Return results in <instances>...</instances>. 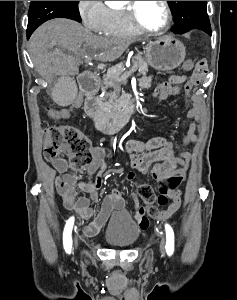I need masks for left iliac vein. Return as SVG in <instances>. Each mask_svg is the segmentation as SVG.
Instances as JSON below:
<instances>
[{"mask_svg": "<svg viewBox=\"0 0 237 300\" xmlns=\"http://www.w3.org/2000/svg\"><path fill=\"white\" fill-rule=\"evenodd\" d=\"M164 244H165V239L162 238V239H161V243H160V252H161V253H163V251H164Z\"/></svg>", "mask_w": 237, "mask_h": 300, "instance_id": "left-iliac-vein-1", "label": "left iliac vein"}]
</instances>
